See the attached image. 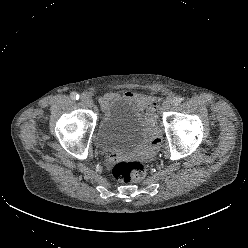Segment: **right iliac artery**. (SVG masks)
<instances>
[{
  "instance_id": "1",
  "label": "right iliac artery",
  "mask_w": 248,
  "mask_h": 248,
  "mask_svg": "<svg viewBox=\"0 0 248 248\" xmlns=\"http://www.w3.org/2000/svg\"><path fill=\"white\" fill-rule=\"evenodd\" d=\"M70 96L73 100H78L80 97L79 94H77L76 92H72Z\"/></svg>"
}]
</instances>
